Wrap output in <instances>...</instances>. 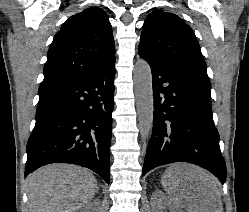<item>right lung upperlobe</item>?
Listing matches in <instances>:
<instances>
[{
  "label": "right lung upper lobe",
  "mask_w": 249,
  "mask_h": 212,
  "mask_svg": "<svg viewBox=\"0 0 249 212\" xmlns=\"http://www.w3.org/2000/svg\"><path fill=\"white\" fill-rule=\"evenodd\" d=\"M115 43L106 12L91 7L71 16L55 35L39 92L92 76L115 62Z\"/></svg>",
  "instance_id": "1"
}]
</instances>
